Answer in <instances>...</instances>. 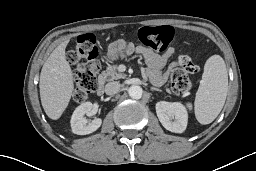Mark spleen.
<instances>
[{
    "instance_id": "obj_1",
    "label": "spleen",
    "mask_w": 256,
    "mask_h": 171,
    "mask_svg": "<svg viewBox=\"0 0 256 171\" xmlns=\"http://www.w3.org/2000/svg\"><path fill=\"white\" fill-rule=\"evenodd\" d=\"M228 92V73L220 55H212L204 65V72L194 102L196 119L200 124L213 122L221 112ZM189 109L192 105L187 104Z\"/></svg>"
}]
</instances>
